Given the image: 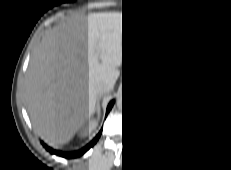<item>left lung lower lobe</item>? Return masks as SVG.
Listing matches in <instances>:
<instances>
[{
    "mask_svg": "<svg viewBox=\"0 0 231 170\" xmlns=\"http://www.w3.org/2000/svg\"><path fill=\"white\" fill-rule=\"evenodd\" d=\"M208 105V104H207ZM148 118L142 116V126H139L133 117V135L136 142L145 150L158 156H170L179 150L188 146L197 136L198 130L195 127L201 120L190 119L188 126L178 133L172 134L167 137H159L156 130L155 135V118L148 111ZM157 127V119H156ZM157 129V128H156Z\"/></svg>",
    "mask_w": 231,
    "mask_h": 170,
    "instance_id": "1",
    "label": "left lung lower lobe"
}]
</instances>
